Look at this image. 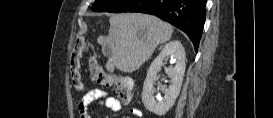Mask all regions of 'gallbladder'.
<instances>
[{
    "instance_id": "1",
    "label": "gallbladder",
    "mask_w": 273,
    "mask_h": 118,
    "mask_svg": "<svg viewBox=\"0 0 273 118\" xmlns=\"http://www.w3.org/2000/svg\"><path fill=\"white\" fill-rule=\"evenodd\" d=\"M102 51H103L105 56H107V57L111 56L112 49H111L110 45H108V44L104 45Z\"/></svg>"
}]
</instances>
